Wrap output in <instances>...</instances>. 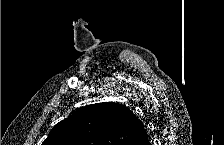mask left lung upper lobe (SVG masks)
Returning <instances> with one entry per match:
<instances>
[{"instance_id":"obj_1","label":"left lung upper lobe","mask_w":224,"mask_h":145,"mask_svg":"<svg viewBox=\"0 0 224 145\" xmlns=\"http://www.w3.org/2000/svg\"><path fill=\"white\" fill-rule=\"evenodd\" d=\"M144 125L114 102L87 105L57 123L42 145H135Z\"/></svg>"}]
</instances>
